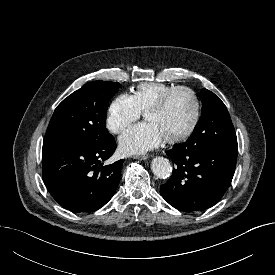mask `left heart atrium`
<instances>
[{"mask_svg": "<svg viewBox=\"0 0 275 275\" xmlns=\"http://www.w3.org/2000/svg\"><path fill=\"white\" fill-rule=\"evenodd\" d=\"M164 140L158 128L150 122L137 124L119 138L120 150L125 154H143L159 146Z\"/></svg>", "mask_w": 275, "mask_h": 275, "instance_id": "obj_1", "label": "left heart atrium"}]
</instances>
